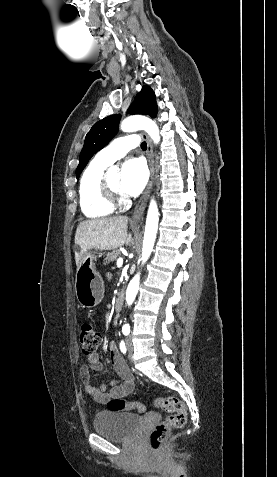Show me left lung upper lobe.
Here are the masks:
<instances>
[{
    "mask_svg": "<svg viewBox=\"0 0 277 477\" xmlns=\"http://www.w3.org/2000/svg\"><path fill=\"white\" fill-rule=\"evenodd\" d=\"M130 114H142L156 117L157 105L155 94L149 86H143L136 99L128 109ZM120 114L110 115L93 125L87 133L76 169L77 179L91 157L107 145L118 130Z\"/></svg>",
    "mask_w": 277,
    "mask_h": 477,
    "instance_id": "1",
    "label": "left lung upper lobe"
}]
</instances>
